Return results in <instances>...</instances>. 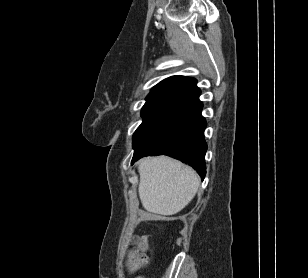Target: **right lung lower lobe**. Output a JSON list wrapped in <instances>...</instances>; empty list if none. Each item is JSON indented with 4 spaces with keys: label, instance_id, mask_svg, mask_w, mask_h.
Here are the masks:
<instances>
[{
    "label": "right lung lower lobe",
    "instance_id": "right-lung-lower-lobe-1",
    "mask_svg": "<svg viewBox=\"0 0 308 278\" xmlns=\"http://www.w3.org/2000/svg\"><path fill=\"white\" fill-rule=\"evenodd\" d=\"M202 106L200 102L182 116L174 118L160 132L135 148L132 163L144 156L165 154L188 163L204 179L207 144Z\"/></svg>",
    "mask_w": 308,
    "mask_h": 278
}]
</instances>
